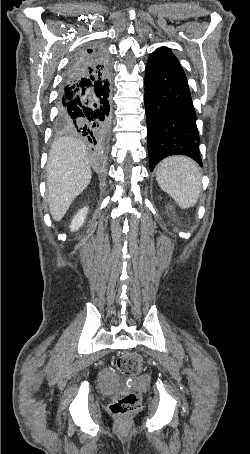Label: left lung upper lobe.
<instances>
[{"label":"left lung upper lobe","mask_w":250,"mask_h":454,"mask_svg":"<svg viewBox=\"0 0 250 454\" xmlns=\"http://www.w3.org/2000/svg\"><path fill=\"white\" fill-rule=\"evenodd\" d=\"M156 51H161V52H164V53L173 55V53L171 52V50H170L169 48H167V47L158 48Z\"/></svg>","instance_id":"obj_1"}]
</instances>
